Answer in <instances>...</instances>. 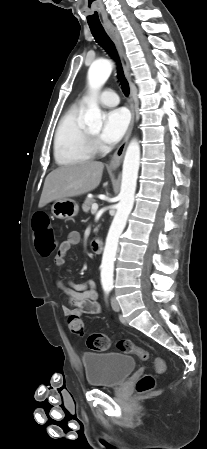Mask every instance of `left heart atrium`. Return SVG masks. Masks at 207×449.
<instances>
[{"mask_svg": "<svg viewBox=\"0 0 207 449\" xmlns=\"http://www.w3.org/2000/svg\"><path fill=\"white\" fill-rule=\"evenodd\" d=\"M129 122L130 116L126 109L117 108L109 111L105 115L100 138L108 144L119 141L126 132Z\"/></svg>", "mask_w": 207, "mask_h": 449, "instance_id": "39dd6f15", "label": "left heart atrium"}]
</instances>
